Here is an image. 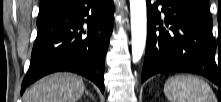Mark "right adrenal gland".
Wrapping results in <instances>:
<instances>
[{
	"instance_id": "1",
	"label": "right adrenal gland",
	"mask_w": 221,
	"mask_h": 102,
	"mask_svg": "<svg viewBox=\"0 0 221 102\" xmlns=\"http://www.w3.org/2000/svg\"><path fill=\"white\" fill-rule=\"evenodd\" d=\"M85 93H86V95L90 96V98L94 99V96L88 90H86Z\"/></svg>"
}]
</instances>
